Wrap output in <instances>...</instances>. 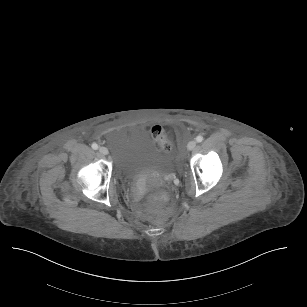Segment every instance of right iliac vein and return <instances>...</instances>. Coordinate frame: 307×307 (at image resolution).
<instances>
[{
  "label": "right iliac vein",
  "instance_id": "63e3f726",
  "mask_svg": "<svg viewBox=\"0 0 307 307\" xmlns=\"http://www.w3.org/2000/svg\"><path fill=\"white\" fill-rule=\"evenodd\" d=\"M99 152H100L102 155H104V156H106V155L109 154L108 149H107L106 147H104V146H102V147L99 148Z\"/></svg>",
  "mask_w": 307,
  "mask_h": 307
}]
</instances>
